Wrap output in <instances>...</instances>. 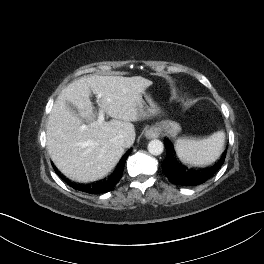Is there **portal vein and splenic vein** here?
<instances>
[{"label": "portal vein and splenic vein", "mask_w": 264, "mask_h": 264, "mask_svg": "<svg viewBox=\"0 0 264 264\" xmlns=\"http://www.w3.org/2000/svg\"><path fill=\"white\" fill-rule=\"evenodd\" d=\"M101 94H99L98 96H97V99H100L101 98ZM103 122H104V111L103 110H100L99 111V115H98V119H97V123L99 124V125H101V124H103ZM86 125H82L81 126V128L82 129H86Z\"/></svg>", "instance_id": "obj_1"}]
</instances>
